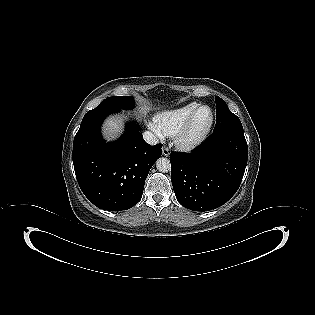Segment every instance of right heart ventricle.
Here are the masks:
<instances>
[{
    "label": "right heart ventricle",
    "instance_id": "right-heart-ventricle-1",
    "mask_svg": "<svg viewBox=\"0 0 315 315\" xmlns=\"http://www.w3.org/2000/svg\"><path fill=\"white\" fill-rule=\"evenodd\" d=\"M199 105L198 102H189L163 111L156 116L155 123L164 135L174 136Z\"/></svg>",
    "mask_w": 315,
    "mask_h": 315
}]
</instances>
